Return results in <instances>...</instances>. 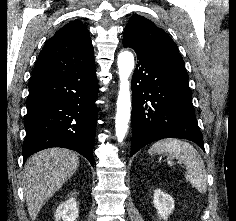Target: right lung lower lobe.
<instances>
[{
	"mask_svg": "<svg viewBox=\"0 0 236 221\" xmlns=\"http://www.w3.org/2000/svg\"><path fill=\"white\" fill-rule=\"evenodd\" d=\"M24 162L32 154L64 147L82 154L94 165L98 84L95 68L29 83Z\"/></svg>",
	"mask_w": 236,
	"mask_h": 221,
	"instance_id": "1",
	"label": "right lung lower lobe"
}]
</instances>
